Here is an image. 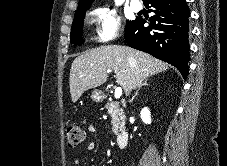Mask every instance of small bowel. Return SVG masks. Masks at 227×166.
Here are the masks:
<instances>
[{
  "instance_id": "small-bowel-1",
  "label": "small bowel",
  "mask_w": 227,
  "mask_h": 166,
  "mask_svg": "<svg viewBox=\"0 0 227 166\" xmlns=\"http://www.w3.org/2000/svg\"><path fill=\"white\" fill-rule=\"evenodd\" d=\"M88 132L91 133V134H94L96 133V127L94 125H89L88 126ZM95 148V143L94 142H89L86 146V150L87 151H91ZM74 164L75 166H80V161L78 158H75L74 160Z\"/></svg>"
}]
</instances>
